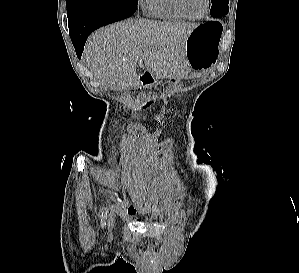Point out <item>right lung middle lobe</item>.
<instances>
[{"instance_id":"dd1d6c3e","label":"right lung middle lobe","mask_w":299,"mask_h":273,"mask_svg":"<svg viewBox=\"0 0 299 273\" xmlns=\"http://www.w3.org/2000/svg\"><path fill=\"white\" fill-rule=\"evenodd\" d=\"M117 4L123 6H136L138 0H66L67 10L72 5H99V4Z\"/></svg>"}]
</instances>
